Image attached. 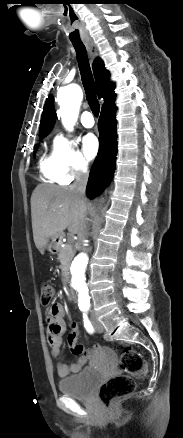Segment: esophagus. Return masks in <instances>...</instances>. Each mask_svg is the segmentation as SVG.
Returning <instances> with one entry per match:
<instances>
[{
    "label": "esophagus",
    "instance_id": "esophagus-1",
    "mask_svg": "<svg viewBox=\"0 0 183 438\" xmlns=\"http://www.w3.org/2000/svg\"><path fill=\"white\" fill-rule=\"evenodd\" d=\"M85 45L88 50L89 57L91 58V60H93L98 55L96 46L94 45L93 42H86Z\"/></svg>",
    "mask_w": 183,
    "mask_h": 438
}]
</instances>
